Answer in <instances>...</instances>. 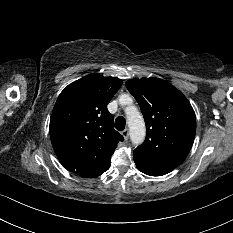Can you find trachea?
Instances as JSON below:
<instances>
[{"label": "trachea", "instance_id": "obj_1", "mask_svg": "<svg viewBox=\"0 0 233 233\" xmlns=\"http://www.w3.org/2000/svg\"><path fill=\"white\" fill-rule=\"evenodd\" d=\"M125 126H126L125 118L122 117V116L117 117L116 120H115V128L118 131H122V130H124Z\"/></svg>", "mask_w": 233, "mask_h": 233}]
</instances>
